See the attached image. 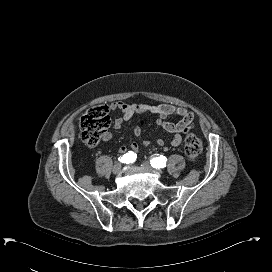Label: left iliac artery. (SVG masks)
<instances>
[{
  "mask_svg": "<svg viewBox=\"0 0 272 272\" xmlns=\"http://www.w3.org/2000/svg\"><path fill=\"white\" fill-rule=\"evenodd\" d=\"M150 162L151 166L154 168L166 167V158L164 156L153 157Z\"/></svg>",
  "mask_w": 272,
  "mask_h": 272,
  "instance_id": "44dca946",
  "label": "left iliac artery"
}]
</instances>
